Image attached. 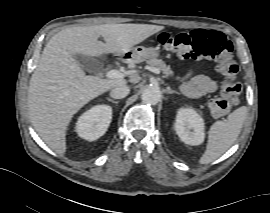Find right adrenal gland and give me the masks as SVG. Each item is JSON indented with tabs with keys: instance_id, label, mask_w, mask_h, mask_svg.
I'll use <instances>...</instances> for the list:
<instances>
[{
	"instance_id": "obj_1",
	"label": "right adrenal gland",
	"mask_w": 270,
	"mask_h": 213,
	"mask_svg": "<svg viewBox=\"0 0 270 213\" xmlns=\"http://www.w3.org/2000/svg\"><path fill=\"white\" fill-rule=\"evenodd\" d=\"M107 100L110 101V102H112V103H115V104L119 103V101H115V100H113L111 98H107Z\"/></svg>"
}]
</instances>
